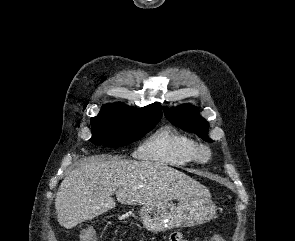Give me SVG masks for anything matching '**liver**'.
I'll list each match as a JSON object with an SVG mask.
<instances>
[{"mask_svg":"<svg viewBox=\"0 0 295 241\" xmlns=\"http://www.w3.org/2000/svg\"><path fill=\"white\" fill-rule=\"evenodd\" d=\"M150 205L209 195L190 176L169 166L117 157H94L72 170L62 181L55 199L59 224L71 229L116 206Z\"/></svg>","mask_w":295,"mask_h":241,"instance_id":"obj_1","label":"liver"}]
</instances>
